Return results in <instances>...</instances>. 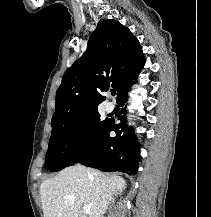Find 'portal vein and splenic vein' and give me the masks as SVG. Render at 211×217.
Here are the masks:
<instances>
[{
  "instance_id": "1",
  "label": "portal vein and splenic vein",
  "mask_w": 211,
  "mask_h": 217,
  "mask_svg": "<svg viewBox=\"0 0 211 217\" xmlns=\"http://www.w3.org/2000/svg\"><path fill=\"white\" fill-rule=\"evenodd\" d=\"M90 206L89 205H85L84 207H83V210H84V212L85 213H89L90 212Z\"/></svg>"
}]
</instances>
